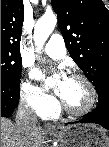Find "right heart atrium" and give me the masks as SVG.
Listing matches in <instances>:
<instances>
[{"mask_svg": "<svg viewBox=\"0 0 109 147\" xmlns=\"http://www.w3.org/2000/svg\"><path fill=\"white\" fill-rule=\"evenodd\" d=\"M22 103L37 114L53 109L55 99L29 81L22 82L20 87Z\"/></svg>", "mask_w": 109, "mask_h": 147, "instance_id": "right-heart-atrium-1", "label": "right heart atrium"}]
</instances>
